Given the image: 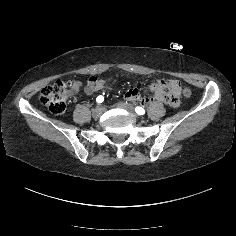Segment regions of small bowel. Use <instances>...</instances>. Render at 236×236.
<instances>
[{
  "mask_svg": "<svg viewBox=\"0 0 236 236\" xmlns=\"http://www.w3.org/2000/svg\"><path fill=\"white\" fill-rule=\"evenodd\" d=\"M76 86H78V85L76 84ZM105 87H106L105 80L91 78L85 86V92L87 94H92L96 91H99V90L105 88ZM174 87L177 88L175 85H174ZM126 97L131 100L137 99L139 97L138 91L136 89L128 90V92L126 93Z\"/></svg>",
  "mask_w": 236,
  "mask_h": 236,
  "instance_id": "small-bowel-1",
  "label": "small bowel"
}]
</instances>
